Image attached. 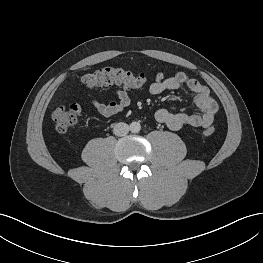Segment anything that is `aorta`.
Returning <instances> with one entry per match:
<instances>
[{
  "mask_svg": "<svg viewBox=\"0 0 263 263\" xmlns=\"http://www.w3.org/2000/svg\"><path fill=\"white\" fill-rule=\"evenodd\" d=\"M129 128L132 133H138L141 130V125L139 122L134 121L130 124Z\"/></svg>",
  "mask_w": 263,
  "mask_h": 263,
  "instance_id": "762f6f07",
  "label": "aorta"
}]
</instances>
